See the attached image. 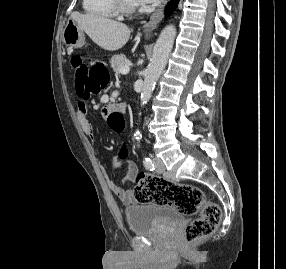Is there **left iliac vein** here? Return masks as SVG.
<instances>
[{
    "label": "left iliac vein",
    "mask_w": 286,
    "mask_h": 269,
    "mask_svg": "<svg viewBox=\"0 0 286 269\" xmlns=\"http://www.w3.org/2000/svg\"><path fill=\"white\" fill-rule=\"evenodd\" d=\"M154 163H155V166H156V171L158 173H163L165 172V165L163 163V161L160 159V158H154L153 159Z\"/></svg>",
    "instance_id": "4c4485c4"
}]
</instances>
